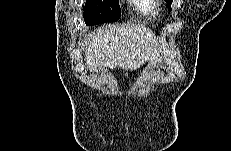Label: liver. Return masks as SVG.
I'll return each instance as SVG.
<instances>
[{
	"instance_id": "1",
	"label": "liver",
	"mask_w": 231,
	"mask_h": 151,
	"mask_svg": "<svg viewBox=\"0 0 231 151\" xmlns=\"http://www.w3.org/2000/svg\"><path fill=\"white\" fill-rule=\"evenodd\" d=\"M85 59L90 69L118 66L126 71L160 60L154 34L144 26L135 25H108L90 34Z\"/></svg>"
}]
</instances>
